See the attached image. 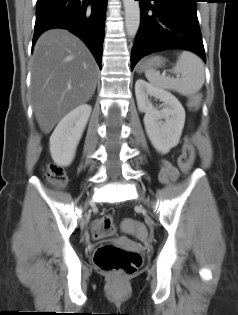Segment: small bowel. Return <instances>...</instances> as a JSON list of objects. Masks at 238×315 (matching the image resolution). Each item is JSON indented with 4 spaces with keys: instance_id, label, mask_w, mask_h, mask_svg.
I'll return each instance as SVG.
<instances>
[{
    "instance_id": "c3829d8e",
    "label": "small bowel",
    "mask_w": 238,
    "mask_h": 315,
    "mask_svg": "<svg viewBox=\"0 0 238 315\" xmlns=\"http://www.w3.org/2000/svg\"><path fill=\"white\" fill-rule=\"evenodd\" d=\"M178 177V170L170 162L163 161L161 163V171L159 179L162 183H169ZM141 226V225H140Z\"/></svg>"
}]
</instances>
